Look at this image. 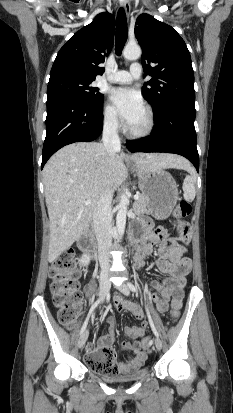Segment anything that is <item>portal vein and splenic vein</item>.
I'll use <instances>...</instances> for the list:
<instances>
[{"mask_svg": "<svg viewBox=\"0 0 233 413\" xmlns=\"http://www.w3.org/2000/svg\"><path fill=\"white\" fill-rule=\"evenodd\" d=\"M134 199H135V200L139 199V195H137V194H136V195H134ZM86 202H87V203H89V202H90V200H87Z\"/></svg>", "mask_w": 233, "mask_h": 413, "instance_id": "portal-vein-and-splenic-vein-1", "label": "portal vein and splenic vein"}]
</instances>
